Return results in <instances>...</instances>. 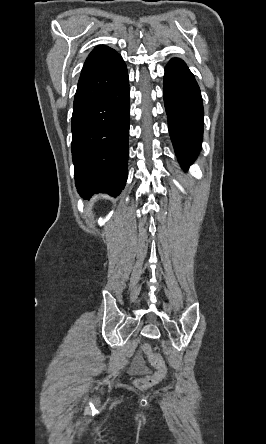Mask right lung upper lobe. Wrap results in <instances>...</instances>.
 <instances>
[{"mask_svg":"<svg viewBox=\"0 0 266 444\" xmlns=\"http://www.w3.org/2000/svg\"><path fill=\"white\" fill-rule=\"evenodd\" d=\"M118 56L119 54L114 49L107 46L95 47L84 63L78 86L101 73Z\"/></svg>","mask_w":266,"mask_h":444,"instance_id":"obj_1","label":"right lung upper lobe"}]
</instances>
